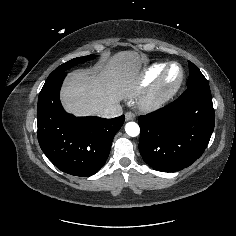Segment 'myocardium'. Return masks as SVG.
Instances as JSON below:
<instances>
[{
	"instance_id": "obj_1",
	"label": "myocardium",
	"mask_w": 236,
	"mask_h": 236,
	"mask_svg": "<svg viewBox=\"0 0 236 236\" xmlns=\"http://www.w3.org/2000/svg\"><path fill=\"white\" fill-rule=\"evenodd\" d=\"M172 66H178L180 69V74L176 82L167 87L166 78ZM184 76V69L179 63L173 62L168 64L143 99L141 103L142 108L145 110H153L169 102L181 88L184 82Z\"/></svg>"
}]
</instances>
